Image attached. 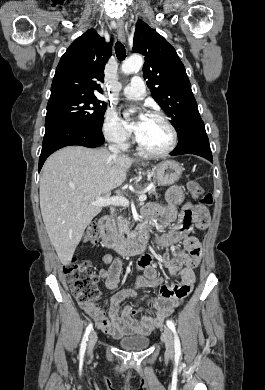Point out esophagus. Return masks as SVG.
Wrapping results in <instances>:
<instances>
[{
	"label": "esophagus",
	"instance_id": "esophagus-1",
	"mask_svg": "<svg viewBox=\"0 0 265 390\" xmlns=\"http://www.w3.org/2000/svg\"><path fill=\"white\" fill-rule=\"evenodd\" d=\"M116 27H117V35H118L119 40L121 42H126L125 31H124V21L118 20Z\"/></svg>",
	"mask_w": 265,
	"mask_h": 390
}]
</instances>
